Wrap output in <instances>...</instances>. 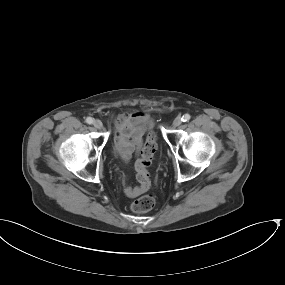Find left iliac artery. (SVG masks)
<instances>
[{"instance_id":"left-iliac-artery-1","label":"left iliac artery","mask_w":285,"mask_h":285,"mask_svg":"<svg viewBox=\"0 0 285 285\" xmlns=\"http://www.w3.org/2000/svg\"><path fill=\"white\" fill-rule=\"evenodd\" d=\"M190 118H191V116H190L189 114H185V115H183V117H182V121H183V122H188V121L190 120Z\"/></svg>"}]
</instances>
